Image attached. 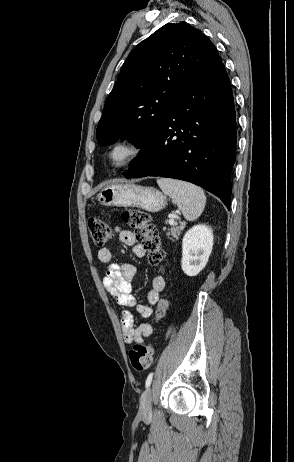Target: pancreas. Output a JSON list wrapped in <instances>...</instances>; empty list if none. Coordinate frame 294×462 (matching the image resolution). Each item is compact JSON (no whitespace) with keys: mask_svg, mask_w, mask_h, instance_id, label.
<instances>
[{"mask_svg":"<svg viewBox=\"0 0 294 462\" xmlns=\"http://www.w3.org/2000/svg\"><path fill=\"white\" fill-rule=\"evenodd\" d=\"M185 224H181L179 226H173L171 229L168 230L166 233L167 236L171 235L174 239L178 240L179 236L181 235V232L184 230Z\"/></svg>","mask_w":294,"mask_h":462,"instance_id":"cf45deb5","label":"pancreas"}]
</instances>
